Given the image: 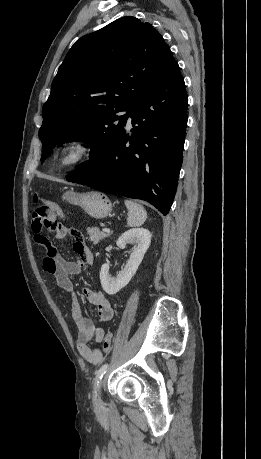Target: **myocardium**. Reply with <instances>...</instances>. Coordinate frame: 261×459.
I'll use <instances>...</instances> for the list:
<instances>
[{
	"mask_svg": "<svg viewBox=\"0 0 261 459\" xmlns=\"http://www.w3.org/2000/svg\"><path fill=\"white\" fill-rule=\"evenodd\" d=\"M94 149L90 140L82 137L70 138L55 149L52 164L55 170L66 172L90 161Z\"/></svg>",
	"mask_w": 261,
	"mask_h": 459,
	"instance_id": "obj_1",
	"label": "myocardium"
}]
</instances>
